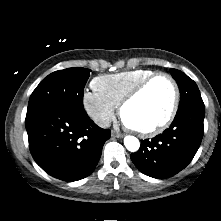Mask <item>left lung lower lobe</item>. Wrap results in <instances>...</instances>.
<instances>
[{"instance_id": "0a47b994", "label": "left lung lower lobe", "mask_w": 221, "mask_h": 221, "mask_svg": "<svg viewBox=\"0 0 221 221\" xmlns=\"http://www.w3.org/2000/svg\"><path fill=\"white\" fill-rule=\"evenodd\" d=\"M204 116V105L178 110L170 127L151 140H142L131 160L147 176L158 179L174 176L195 156L204 133Z\"/></svg>"}]
</instances>
